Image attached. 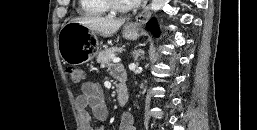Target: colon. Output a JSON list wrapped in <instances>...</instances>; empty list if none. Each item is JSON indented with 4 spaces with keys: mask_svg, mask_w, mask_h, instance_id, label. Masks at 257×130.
<instances>
[{
    "mask_svg": "<svg viewBox=\"0 0 257 130\" xmlns=\"http://www.w3.org/2000/svg\"><path fill=\"white\" fill-rule=\"evenodd\" d=\"M67 73L69 74L72 81L75 83H80L85 79V72L81 68L69 67L67 69Z\"/></svg>",
    "mask_w": 257,
    "mask_h": 130,
    "instance_id": "5ec220e1",
    "label": "colon"
}]
</instances>
